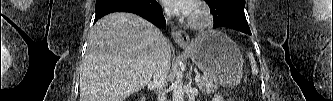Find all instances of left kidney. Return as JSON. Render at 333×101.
<instances>
[{"label":"left kidney","mask_w":333,"mask_h":101,"mask_svg":"<svg viewBox=\"0 0 333 101\" xmlns=\"http://www.w3.org/2000/svg\"><path fill=\"white\" fill-rule=\"evenodd\" d=\"M213 101H223V97L220 95H217L214 97Z\"/></svg>","instance_id":"5707ae66"}]
</instances>
